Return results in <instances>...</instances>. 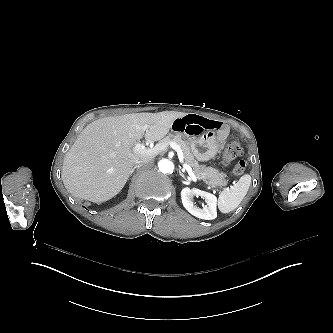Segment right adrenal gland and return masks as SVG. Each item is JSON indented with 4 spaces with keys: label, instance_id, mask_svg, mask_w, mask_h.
<instances>
[{
    "label": "right adrenal gland",
    "instance_id": "obj_1",
    "mask_svg": "<svg viewBox=\"0 0 333 333\" xmlns=\"http://www.w3.org/2000/svg\"><path fill=\"white\" fill-rule=\"evenodd\" d=\"M139 167H137V166H134L133 168H132V170H131V174L135 171V170H137Z\"/></svg>",
    "mask_w": 333,
    "mask_h": 333
}]
</instances>
